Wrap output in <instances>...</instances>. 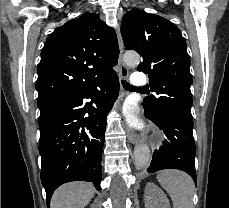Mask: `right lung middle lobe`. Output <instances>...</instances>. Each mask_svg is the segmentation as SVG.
<instances>
[{"label":"right lung middle lobe","mask_w":229,"mask_h":208,"mask_svg":"<svg viewBox=\"0 0 229 208\" xmlns=\"http://www.w3.org/2000/svg\"><path fill=\"white\" fill-rule=\"evenodd\" d=\"M64 102H66V100H54V101L37 104L38 108L40 109L39 118L47 115L49 112L53 111L56 107H58L59 105H61Z\"/></svg>","instance_id":"dd1d6c3e"}]
</instances>
